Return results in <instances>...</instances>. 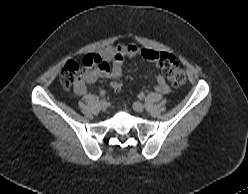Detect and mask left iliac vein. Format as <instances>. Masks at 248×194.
I'll return each mask as SVG.
<instances>
[{"label":"left iliac vein","mask_w":248,"mask_h":194,"mask_svg":"<svg viewBox=\"0 0 248 194\" xmlns=\"http://www.w3.org/2000/svg\"><path fill=\"white\" fill-rule=\"evenodd\" d=\"M133 109L136 111V112H143L144 111V105L141 103V102H134L133 103Z\"/></svg>","instance_id":"obj_1"}]
</instances>
